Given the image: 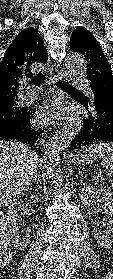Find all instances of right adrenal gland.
Segmentation results:
<instances>
[{"instance_id":"right-adrenal-gland-1","label":"right adrenal gland","mask_w":113,"mask_h":279,"mask_svg":"<svg viewBox=\"0 0 113 279\" xmlns=\"http://www.w3.org/2000/svg\"><path fill=\"white\" fill-rule=\"evenodd\" d=\"M38 174L35 173L34 177H33V181L35 182L37 180Z\"/></svg>"}]
</instances>
